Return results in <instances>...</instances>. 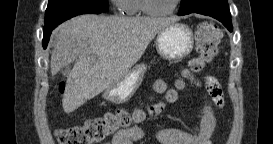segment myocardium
<instances>
[{
	"mask_svg": "<svg viewBox=\"0 0 273 144\" xmlns=\"http://www.w3.org/2000/svg\"><path fill=\"white\" fill-rule=\"evenodd\" d=\"M150 0H141V10L151 16H166L172 14L178 7L181 0H174L173 5L168 10H155L149 5Z\"/></svg>",
	"mask_w": 273,
	"mask_h": 144,
	"instance_id": "f54148a6",
	"label": "myocardium"
}]
</instances>
